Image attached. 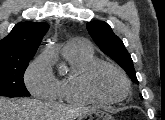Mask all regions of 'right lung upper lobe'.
Here are the masks:
<instances>
[{"label":"right lung upper lobe","instance_id":"obj_1","mask_svg":"<svg viewBox=\"0 0 165 120\" xmlns=\"http://www.w3.org/2000/svg\"><path fill=\"white\" fill-rule=\"evenodd\" d=\"M44 22H22L0 41V61L32 59L48 31Z\"/></svg>","mask_w":165,"mask_h":120}]
</instances>
